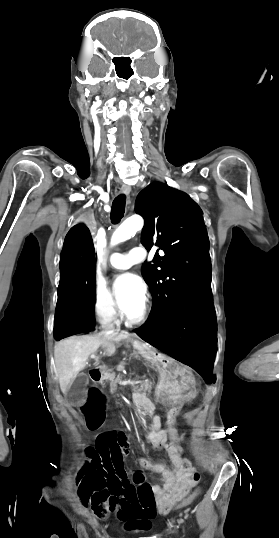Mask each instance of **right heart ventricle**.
<instances>
[{"label": "right heart ventricle", "instance_id": "1", "mask_svg": "<svg viewBox=\"0 0 279 538\" xmlns=\"http://www.w3.org/2000/svg\"><path fill=\"white\" fill-rule=\"evenodd\" d=\"M134 224V217L132 213H127L121 217L116 225L114 235L116 237H123L131 233L132 226Z\"/></svg>", "mask_w": 279, "mask_h": 538}]
</instances>
